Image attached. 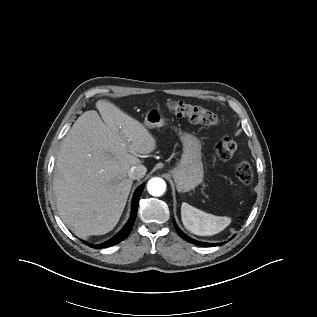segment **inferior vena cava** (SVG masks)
I'll return each mask as SVG.
<instances>
[{"label": "inferior vena cava", "mask_w": 317, "mask_h": 317, "mask_svg": "<svg viewBox=\"0 0 317 317\" xmlns=\"http://www.w3.org/2000/svg\"><path fill=\"white\" fill-rule=\"evenodd\" d=\"M147 172V168L144 165L132 166L128 172L129 178L137 180L143 178Z\"/></svg>", "instance_id": "1"}]
</instances>
